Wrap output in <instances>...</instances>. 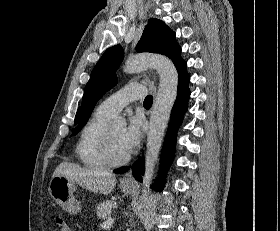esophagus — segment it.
Instances as JSON below:
<instances>
[{
	"mask_svg": "<svg viewBox=\"0 0 280 231\" xmlns=\"http://www.w3.org/2000/svg\"><path fill=\"white\" fill-rule=\"evenodd\" d=\"M152 75H153V77H155V72H154V71H152ZM122 180H123V181H132L133 178H132L131 174H126V175L122 178Z\"/></svg>",
	"mask_w": 280,
	"mask_h": 231,
	"instance_id": "1",
	"label": "esophagus"
}]
</instances>
